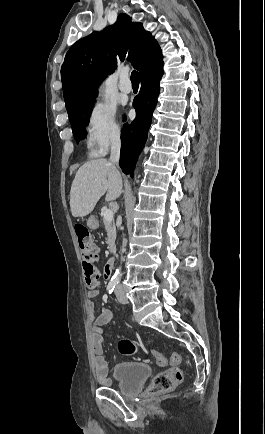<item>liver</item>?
I'll use <instances>...</instances> for the list:
<instances>
[{"label": "liver", "mask_w": 265, "mask_h": 434, "mask_svg": "<svg viewBox=\"0 0 265 434\" xmlns=\"http://www.w3.org/2000/svg\"><path fill=\"white\" fill-rule=\"evenodd\" d=\"M107 192V194H106ZM106 202L122 194V178L116 166L107 160H90L79 168L71 186L70 208L74 218L88 216L101 196Z\"/></svg>", "instance_id": "1"}]
</instances>
